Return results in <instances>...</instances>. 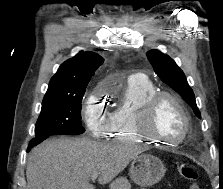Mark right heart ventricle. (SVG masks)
<instances>
[{
    "label": "right heart ventricle",
    "instance_id": "obj_1",
    "mask_svg": "<svg viewBox=\"0 0 223 189\" xmlns=\"http://www.w3.org/2000/svg\"><path fill=\"white\" fill-rule=\"evenodd\" d=\"M156 88L148 79L129 81L122 102L108 115L105 135L122 142H140L143 138L135 126V114L140 105Z\"/></svg>",
    "mask_w": 223,
    "mask_h": 189
}]
</instances>
